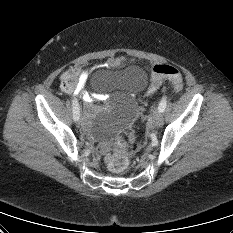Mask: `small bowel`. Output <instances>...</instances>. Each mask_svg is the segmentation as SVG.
<instances>
[{"label":"small bowel","mask_w":233,"mask_h":233,"mask_svg":"<svg viewBox=\"0 0 233 233\" xmlns=\"http://www.w3.org/2000/svg\"><path fill=\"white\" fill-rule=\"evenodd\" d=\"M88 71L84 70L79 78V81L75 88L69 92H73L74 94L80 95L81 98L85 101L86 103V111L87 114H90L92 112V103L95 99L100 98L97 95L90 94L88 92H83L82 89L86 83L87 77H88ZM102 99V98H101Z\"/></svg>","instance_id":"1"}]
</instances>
